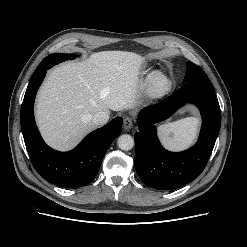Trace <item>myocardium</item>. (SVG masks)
Returning a JSON list of instances; mask_svg holds the SVG:
<instances>
[{"label":"myocardium","instance_id":"1","mask_svg":"<svg viewBox=\"0 0 247 247\" xmlns=\"http://www.w3.org/2000/svg\"><path fill=\"white\" fill-rule=\"evenodd\" d=\"M163 81L162 86H158V81ZM172 86L170 78L162 72H154L148 76L145 82V90L151 97L158 98L167 94Z\"/></svg>","mask_w":247,"mask_h":247}]
</instances>
